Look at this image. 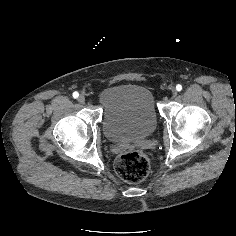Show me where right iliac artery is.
<instances>
[{
    "instance_id": "obj_1",
    "label": "right iliac artery",
    "mask_w": 236,
    "mask_h": 236,
    "mask_svg": "<svg viewBox=\"0 0 236 236\" xmlns=\"http://www.w3.org/2000/svg\"><path fill=\"white\" fill-rule=\"evenodd\" d=\"M78 96H79V93H78V92H74V93H73V97H74V98H78Z\"/></svg>"
}]
</instances>
